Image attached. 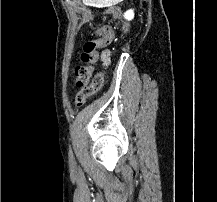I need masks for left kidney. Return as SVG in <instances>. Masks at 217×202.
<instances>
[{
	"mask_svg": "<svg viewBox=\"0 0 217 202\" xmlns=\"http://www.w3.org/2000/svg\"><path fill=\"white\" fill-rule=\"evenodd\" d=\"M124 18H125V20H133V18H134L133 10H128V12H125Z\"/></svg>",
	"mask_w": 217,
	"mask_h": 202,
	"instance_id": "5707ae66",
	"label": "left kidney"
}]
</instances>
